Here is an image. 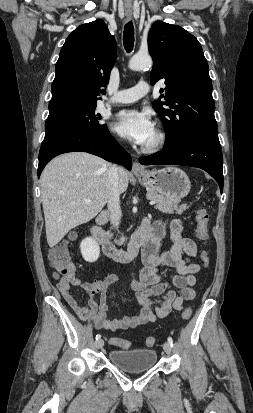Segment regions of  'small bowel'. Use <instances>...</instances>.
I'll use <instances>...</instances> for the list:
<instances>
[{"label": "small bowel", "instance_id": "obj_1", "mask_svg": "<svg viewBox=\"0 0 253 413\" xmlns=\"http://www.w3.org/2000/svg\"><path fill=\"white\" fill-rule=\"evenodd\" d=\"M151 227L153 237L142 249L143 267L139 279L131 283L132 289L137 291L136 297L140 306L137 315L118 319L108 318V292L110 287L118 282V277L114 274L108 275L103 280L83 282L75 275V267L72 263L71 275L61 277L57 272L53 273L62 297L80 319L92 321L100 330L136 328L166 317L173 309L182 310L185 301H192L195 298L196 293L193 289L196 284L195 274L201 268L198 263L193 262L197 253L195 242L190 238L182 237V223L179 219H174L170 224L172 246L159 254L158 249L160 240L165 235V226L157 221ZM161 267L176 270V274L169 282L162 280L159 273ZM71 286L81 287L88 294L89 298L84 306H81L71 294ZM98 293L99 304L94 300V296Z\"/></svg>", "mask_w": 253, "mask_h": 413}]
</instances>
